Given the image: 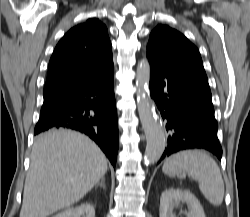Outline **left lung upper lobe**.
I'll list each match as a JSON object with an SVG mask.
<instances>
[{"mask_svg": "<svg viewBox=\"0 0 250 217\" xmlns=\"http://www.w3.org/2000/svg\"><path fill=\"white\" fill-rule=\"evenodd\" d=\"M147 52L163 63L204 71L197 47L183 34L167 25H158L151 32Z\"/></svg>", "mask_w": 250, "mask_h": 217, "instance_id": "left-lung-upper-lobe-1", "label": "left lung upper lobe"}]
</instances>
